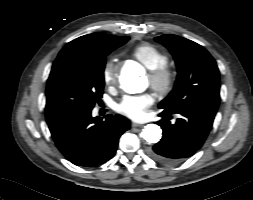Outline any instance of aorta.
Here are the masks:
<instances>
[{"label":"aorta","instance_id":"1","mask_svg":"<svg viewBox=\"0 0 253 200\" xmlns=\"http://www.w3.org/2000/svg\"><path fill=\"white\" fill-rule=\"evenodd\" d=\"M120 83L127 93H141L148 86L147 77L141 70H125L121 77ZM161 128L156 124H147L141 132V137L148 143H157L162 136Z\"/></svg>","mask_w":253,"mask_h":200}]
</instances>
